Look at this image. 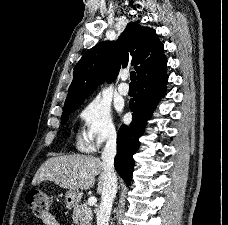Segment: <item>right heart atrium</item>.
Masks as SVG:
<instances>
[{
    "label": "right heart atrium",
    "instance_id": "d8ad5b80",
    "mask_svg": "<svg viewBox=\"0 0 228 225\" xmlns=\"http://www.w3.org/2000/svg\"><path fill=\"white\" fill-rule=\"evenodd\" d=\"M82 123V139L91 147L98 149L117 138V130L111 111L98 100L85 104L78 113Z\"/></svg>",
    "mask_w": 228,
    "mask_h": 225
}]
</instances>
